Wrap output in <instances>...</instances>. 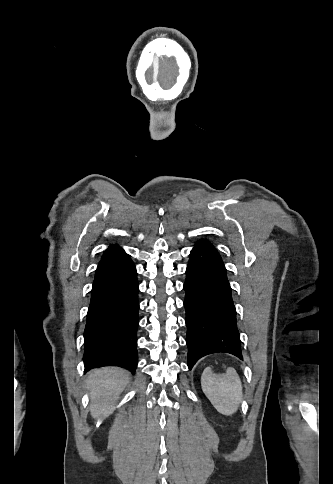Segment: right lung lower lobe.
Listing matches in <instances>:
<instances>
[{"instance_id": "obj_1", "label": "right lung lower lobe", "mask_w": 333, "mask_h": 484, "mask_svg": "<svg viewBox=\"0 0 333 484\" xmlns=\"http://www.w3.org/2000/svg\"><path fill=\"white\" fill-rule=\"evenodd\" d=\"M136 268L117 245L110 246L98 264L84 332L85 372L108 365L135 372L138 327Z\"/></svg>"}]
</instances>
